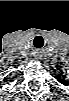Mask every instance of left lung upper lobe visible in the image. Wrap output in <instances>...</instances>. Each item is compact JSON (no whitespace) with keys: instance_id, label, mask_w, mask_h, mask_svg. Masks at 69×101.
Masks as SVG:
<instances>
[{"instance_id":"left-lung-upper-lobe-1","label":"left lung upper lobe","mask_w":69,"mask_h":101,"mask_svg":"<svg viewBox=\"0 0 69 101\" xmlns=\"http://www.w3.org/2000/svg\"><path fill=\"white\" fill-rule=\"evenodd\" d=\"M58 80H59V82L62 83V84H67V82H66L65 80L61 79L60 76L58 77Z\"/></svg>"}]
</instances>
